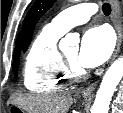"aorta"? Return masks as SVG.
Here are the masks:
<instances>
[{"label": "aorta", "instance_id": "762f6f07", "mask_svg": "<svg viewBox=\"0 0 123 113\" xmlns=\"http://www.w3.org/2000/svg\"><path fill=\"white\" fill-rule=\"evenodd\" d=\"M78 42V35L69 33L61 40L59 47L61 50H65L71 45L77 46ZM122 77L123 56L115 60L105 73L97 91L91 113H108L112 95Z\"/></svg>", "mask_w": 123, "mask_h": 113}]
</instances>
